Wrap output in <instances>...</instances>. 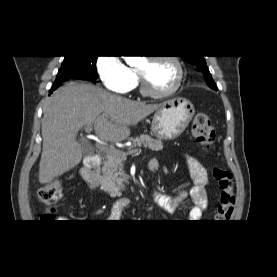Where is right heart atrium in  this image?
Wrapping results in <instances>:
<instances>
[{"label":"right heart atrium","instance_id":"right-heart-atrium-1","mask_svg":"<svg viewBox=\"0 0 277 277\" xmlns=\"http://www.w3.org/2000/svg\"><path fill=\"white\" fill-rule=\"evenodd\" d=\"M96 68L103 85L114 92L125 93L136 83L135 73L115 53L99 56Z\"/></svg>","mask_w":277,"mask_h":277}]
</instances>
